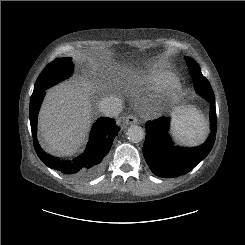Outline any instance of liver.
<instances>
[{"instance_id":"obj_1","label":"liver","mask_w":245,"mask_h":245,"mask_svg":"<svg viewBox=\"0 0 245 245\" xmlns=\"http://www.w3.org/2000/svg\"><path fill=\"white\" fill-rule=\"evenodd\" d=\"M106 87L97 86L87 78H79L48 90L38 119L39 131L47 152L67 156L78 149L91 122L89 97L96 90Z\"/></svg>"}]
</instances>
